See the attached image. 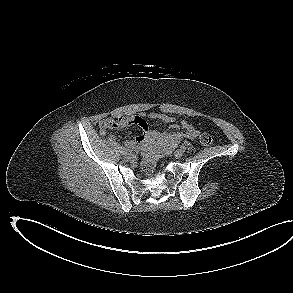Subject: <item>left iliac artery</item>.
I'll return each mask as SVG.
<instances>
[{"instance_id":"obj_1","label":"left iliac artery","mask_w":293,"mask_h":293,"mask_svg":"<svg viewBox=\"0 0 293 293\" xmlns=\"http://www.w3.org/2000/svg\"><path fill=\"white\" fill-rule=\"evenodd\" d=\"M180 148L183 152L186 150V147L184 145H181Z\"/></svg>"}]
</instances>
